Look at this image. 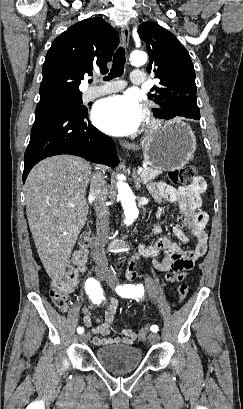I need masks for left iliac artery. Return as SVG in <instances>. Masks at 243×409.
I'll return each mask as SVG.
<instances>
[{
    "label": "left iliac artery",
    "instance_id": "44dca946",
    "mask_svg": "<svg viewBox=\"0 0 243 409\" xmlns=\"http://www.w3.org/2000/svg\"><path fill=\"white\" fill-rule=\"evenodd\" d=\"M117 293L122 296V297H128V298H135L137 299V297H142L143 293H144V288L142 285H132V284H124V285H120L116 288ZM158 326L157 325H153L151 327V331L156 333L158 332Z\"/></svg>",
    "mask_w": 243,
    "mask_h": 409
}]
</instances>
